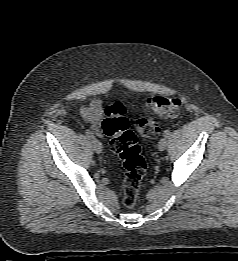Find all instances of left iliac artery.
Instances as JSON below:
<instances>
[{
  "mask_svg": "<svg viewBox=\"0 0 238 261\" xmlns=\"http://www.w3.org/2000/svg\"><path fill=\"white\" fill-rule=\"evenodd\" d=\"M163 136L164 137H169L170 136V131L169 130H165L164 133H163Z\"/></svg>",
  "mask_w": 238,
  "mask_h": 261,
  "instance_id": "44dca946",
  "label": "left iliac artery"
}]
</instances>
